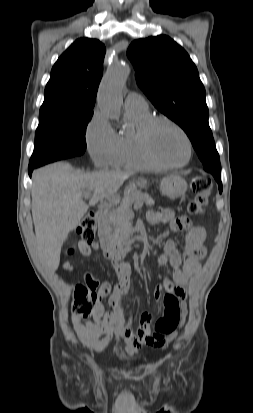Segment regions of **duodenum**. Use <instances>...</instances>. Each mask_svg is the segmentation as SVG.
<instances>
[{
	"instance_id": "410a0bca",
	"label": "duodenum",
	"mask_w": 253,
	"mask_h": 413,
	"mask_svg": "<svg viewBox=\"0 0 253 413\" xmlns=\"http://www.w3.org/2000/svg\"><path fill=\"white\" fill-rule=\"evenodd\" d=\"M107 209L105 203H101L98 206L97 213L99 215V237L103 247L105 255L112 259L120 260L122 259L128 251L131 250L129 246H119L116 245L110 239V234L106 223L102 220V216Z\"/></svg>"
}]
</instances>
